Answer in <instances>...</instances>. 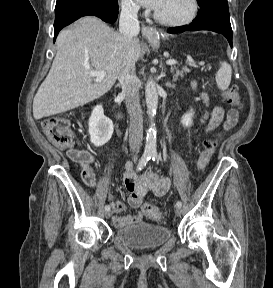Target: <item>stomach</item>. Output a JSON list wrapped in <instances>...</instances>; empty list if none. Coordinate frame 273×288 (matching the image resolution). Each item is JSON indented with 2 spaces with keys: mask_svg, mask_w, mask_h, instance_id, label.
Returning a JSON list of instances; mask_svg holds the SVG:
<instances>
[{
  "mask_svg": "<svg viewBox=\"0 0 273 288\" xmlns=\"http://www.w3.org/2000/svg\"><path fill=\"white\" fill-rule=\"evenodd\" d=\"M152 46H153V47H158V46H159V43H158V41H156V42H153V43H152Z\"/></svg>",
  "mask_w": 273,
  "mask_h": 288,
  "instance_id": "0dacf381",
  "label": "stomach"
}]
</instances>
